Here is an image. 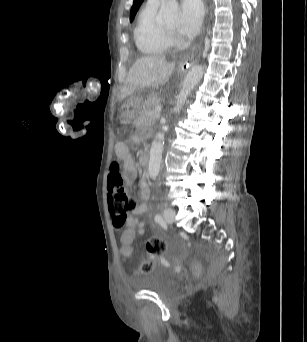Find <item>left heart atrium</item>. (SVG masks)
<instances>
[{"mask_svg": "<svg viewBox=\"0 0 307 342\" xmlns=\"http://www.w3.org/2000/svg\"><path fill=\"white\" fill-rule=\"evenodd\" d=\"M204 11L198 1H185L181 5V22L176 30V38L181 43H190L200 31Z\"/></svg>", "mask_w": 307, "mask_h": 342, "instance_id": "obj_1", "label": "left heart atrium"}]
</instances>
